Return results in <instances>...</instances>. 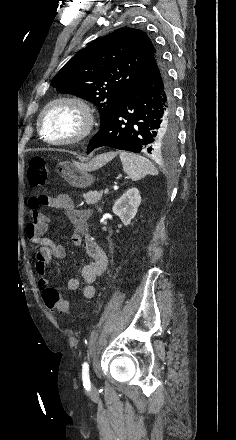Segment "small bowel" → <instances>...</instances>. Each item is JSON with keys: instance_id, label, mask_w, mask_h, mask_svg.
<instances>
[{"instance_id": "small-bowel-1", "label": "small bowel", "mask_w": 236, "mask_h": 440, "mask_svg": "<svg viewBox=\"0 0 236 440\" xmlns=\"http://www.w3.org/2000/svg\"><path fill=\"white\" fill-rule=\"evenodd\" d=\"M30 218L26 224V237L35 248V271L38 275V285L46 287L47 267L55 260H62L66 257V250L63 245L47 237L49 216L42 211L43 207L60 209L71 214L73 231L71 239L74 245L84 244L90 262L83 265L81 278L85 282L82 293L85 299H92L95 296L93 282L101 276L108 266V257L104 250L88 233V221L92 213L89 209H77L70 196L61 194L55 197L46 195H35L28 201ZM81 279L71 278L67 282L70 291H76L81 287Z\"/></svg>"}]
</instances>
